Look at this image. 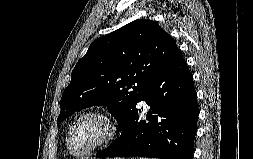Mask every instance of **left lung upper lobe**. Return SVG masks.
<instances>
[{
	"instance_id": "obj_1",
	"label": "left lung upper lobe",
	"mask_w": 253,
	"mask_h": 159,
	"mask_svg": "<svg viewBox=\"0 0 253 159\" xmlns=\"http://www.w3.org/2000/svg\"><path fill=\"white\" fill-rule=\"evenodd\" d=\"M177 52L174 40L152 20H135L96 39L72 71L58 127L76 111L103 105L121 128L147 84Z\"/></svg>"
}]
</instances>
